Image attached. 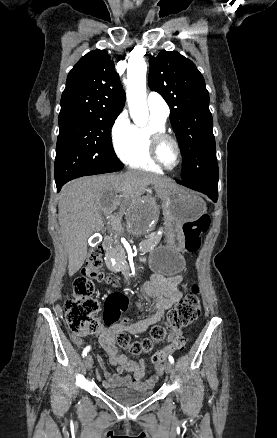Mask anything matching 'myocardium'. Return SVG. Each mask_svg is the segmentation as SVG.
I'll return each instance as SVG.
<instances>
[{
    "label": "myocardium",
    "instance_id": "1",
    "mask_svg": "<svg viewBox=\"0 0 277 438\" xmlns=\"http://www.w3.org/2000/svg\"><path fill=\"white\" fill-rule=\"evenodd\" d=\"M166 141L172 142L176 148L177 159L172 167L166 166L160 157L161 147ZM147 142L151 158L160 169L172 171L178 167L182 158V149L179 141L174 136L166 133L165 131L151 129L147 135Z\"/></svg>",
    "mask_w": 277,
    "mask_h": 438
}]
</instances>
